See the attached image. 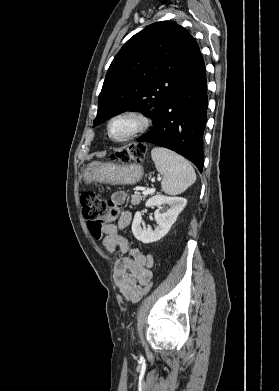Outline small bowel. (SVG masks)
I'll list each match as a JSON object with an SVG mask.
<instances>
[{
	"instance_id": "c3829d8e",
	"label": "small bowel",
	"mask_w": 279,
	"mask_h": 391,
	"mask_svg": "<svg viewBox=\"0 0 279 391\" xmlns=\"http://www.w3.org/2000/svg\"><path fill=\"white\" fill-rule=\"evenodd\" d=\"M126 201V193L116 191L112 194L114 205H122ZM132 219L129 211H125L119 217L118 222H106L102 225V233L105 234L103 246L107 252L117 255H125L115 263V283L123 295L130 302H138L143 297L145 284L152 279L151 268L154 260L151 254L143 253L139 249L130 247L128 241L120 234Z\"/></svg>"
}]
</instances>
